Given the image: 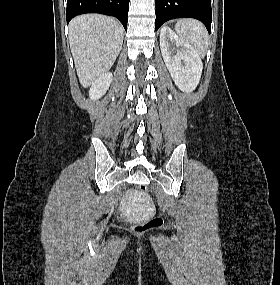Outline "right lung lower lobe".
Wrapping results in <instances>:
<instances>
[{
	"mask_svg": "<svg viewBox=\"0 0 280 285\" xmlns=\"http://www.w3.org/2000/svg\"><path fill=\"white\" fill-rule=\"evenodd\" d=\"M130 0H67V23L79 14L101 13L119 19L127 30V15Z\"/></svg>",
	"mask_w": 280,
	"mask_h": 285,
	"instance_id": "1",
	"label": "right lung lower lobe"
}]
</instances>
